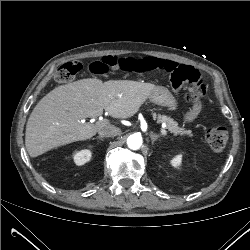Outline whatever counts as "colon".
Segmentation results:
<instances>
[{
  "label": "colon",
  "mask_w": 250,
  "mask_h": 250,
  "mask_svg": "<svg viewBox=\"0 0 250 250\" xmlns=\"http://www.w3.org/2000/svg\"><path fill=\"white\" fill-rule=\"evenodd\" d=\"M79 61H69L61 65L55 72V80L59 83H68L81 70ZM113 69L127 72L152 71L156 67L152 62L140 65V60L135 58L106 57L93 62L90 70L94 74H105ZM171 84L174 87H185V99L192 105L198 106L209 98L204 79L200 72L191 66L179 65L171 72ZM205 138L210 148L215 152L222 151L228 142V131L223 126H215L206 130Z\"/></svg>",
  "instance_id": "5ec220e1"
}]
</instances>
